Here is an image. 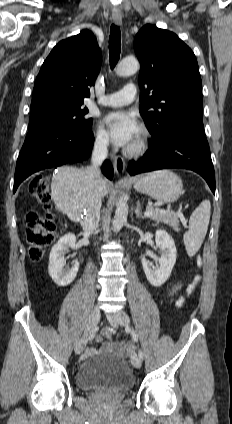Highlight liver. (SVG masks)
Returning a JSON list of instances; mask_svg holds the SVG:
<instances>
[{
    "mask_svg": "<svg viewBox=\"0 0 232 424\" xmlns=\"http://www.w3.org/2000/svg\"><path fill=\"white\" fill-rule=\"evenodd\" d=\"M110 184L103 180L102 196L107 195ZM91 181L85 170L62 166L51 183V197L56 207L65 213L71 221L78 222L88 207V195Z\"/></svg>",
    "mask_w": 232,
    "mask_h": 424,
    "instance_id": "6515ba94",
    "label": "liver"
}]
</instances>
